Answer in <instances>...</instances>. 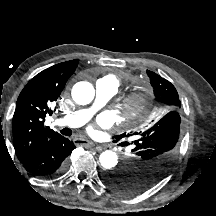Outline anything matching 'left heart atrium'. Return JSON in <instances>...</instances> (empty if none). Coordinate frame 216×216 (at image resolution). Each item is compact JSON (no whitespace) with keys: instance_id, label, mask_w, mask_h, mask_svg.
Here are the masks:
<instances>
[{"instance_id":"left-heart-atrium-1","label":"left heart atrium","mask_w":216,"mask_h":216,"mask_svg":"<svg viewBox=\"0 0 216 216\" xmlns=\"http://www.w3.org/2000/svg\"><path fill=\"white\" fill-rule=\"evenodd\" d=\"M110 122H111V118L108 114H103L98 119L99 125H102V126H108Z\"/></svg>"}]
</instances>
